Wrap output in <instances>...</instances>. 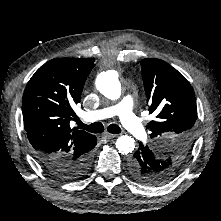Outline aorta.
<instances>
[{"label": "aorta", "instance_id": "obj_1", "mask_svg": "<svg viewBox=\"0 0 221 221\" xmlns=\"http://www.w3.org/2000/svg\"><path fill=\"white\" fill-rule=\"evenodd\" d=\"M96 87L110 100H117L121 96V84L114 70L100 73L96 79ZM116 148L121 154H129L135 148V140L131 136L122 135L116 141Z\"/></svg>", "mask_w": 221, "mask_h": 221}]
</instances>
